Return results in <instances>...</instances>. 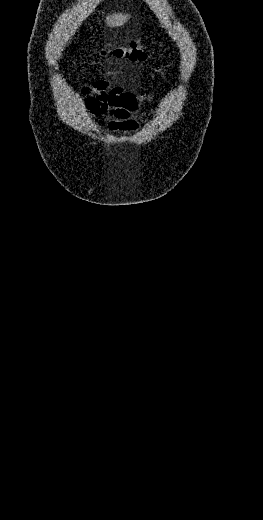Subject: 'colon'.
<instances>
[{
    "instance_id": "colon-1",
    "label": "colon",
    "mask_w": 263,
    "mask_h": 520,
    "mask_svg": "<svg viewBox=\"0 0 263 520\" xmlns=\"http://www.w3.org/2000/svg\"><path fill=\"white\" fill-rule=\"evenodd\" d=\"M102 54H109L116 58L130 61H144L149 57V54L144 50L142 45L136 41L115 47L109 51H103Z\"/></svg>"
}]
</instances>
